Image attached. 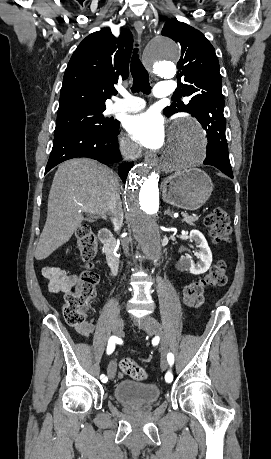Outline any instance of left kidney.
<instances>
[{
  "label": "left kidney",
  "instance_id": "left-kidney-1",
  "mask_svg": "<svg viewBox=\"0 0 271 459\" xmlns=\"http://www.w3.org/2000/svg\"><path fill=\"white\" fill-rule=\"evenodd\" d=\"M189 237L199 243L200 259L197 263H194L192 259L186 257V255H182L180 265H182L183 269H189L190 273L198 275V273H204V271L209 269L212 261V253L203 233L199 229H191Z\"/></svg>",
  "mask_w": 271,
  "mask_h": 459
}]
</instances>
